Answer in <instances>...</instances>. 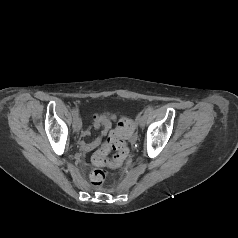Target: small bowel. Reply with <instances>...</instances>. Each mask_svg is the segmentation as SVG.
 I'll return each mask as SVG.
<instances>
[{"mask_svg":"<svg viewBox=\"0 0 238 238\" xmlns=\"http://www.w3.org/2000/svg\"><path fill=\"white\" fill-rule=\"evenodd\" d=\"M115 116L111 115H105V114H96L93 116V126L96 129H99L100 132L98 136H96L92 141L86 142V141H81L80 147L83 151H91L97 147L100 146L102 143V140L107 134L109 133L111 129V120H115ZM90 134L88 130L83 131L82 136L86 137ZM105 146V144L103 145Z\"/></svg>","mask_w":238,"mask_h":238,"instance_id":"c3829d8e","label":"small bowel"}]
</instances>
